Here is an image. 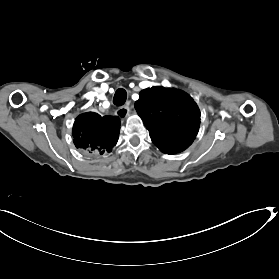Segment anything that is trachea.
I'll return each instance as SVG.
<instances>
[{"label":"trachea","instance_id":"1","mask_svg":"<svg viewBox=\"0 0 279 279\" xmlns=\"http://www.w3.org/2000/svg\"><path fill=\"white\" fill-rule=\"evenodd\" d=\"M127 99V92L125 89H117V91L114 94L113 102L116 106H121L125 103Z\"/></svg>","mask_w":279,"mask_h":279}]
</instances>
